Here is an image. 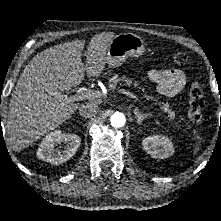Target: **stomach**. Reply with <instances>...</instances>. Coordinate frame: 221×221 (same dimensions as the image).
<instances>
[{
  "mask_svg": "<svg viewBox=\"0 0 221 221\" xmlns=\"http://www.w3.org/2000/svg\"><path fill=\"white\" fill-rule=\"evenodd\" d=\"M143 39L133 33H121L112 38L107 49V64L118 67L128 56L138 57L144 53Z\"/></svg>",
  "mask_w": 221,
  "mask_h": 221,
  "instance_id": "0dacf381",
  "label": "stomach"
}]
</instances>
